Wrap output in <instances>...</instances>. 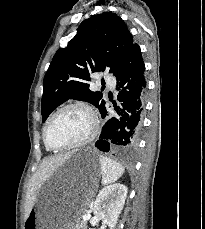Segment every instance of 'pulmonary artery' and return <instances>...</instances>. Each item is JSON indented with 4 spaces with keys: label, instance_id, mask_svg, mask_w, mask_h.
<instances>
[{
    "label": "pulmonary artery",
    "instance_id": "1",
    "mask_svg": "<svg viewBox=\"0 0 205 229\" xmlns=\"http://www.w3.org/2000/svg\"><path fill=\"white\" fill-rule=\"evenodd\" d=\"M104 81L106 84H108L110 87L114 88L115 87V84H116V81L115 79L112 77V76H104Z\"/></svg>",
    "mask_w": 205,
    "mask_h": 229
}]
</instances>
